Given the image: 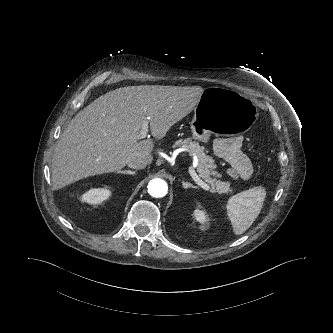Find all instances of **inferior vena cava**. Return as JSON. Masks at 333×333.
<instances>
[{"instance_id": "obj_1", "label": "inferior vena cava", "mask_w": 333, "mask_h": 333, "mask_svg": "<svg viewBox=\"0 0 333 333\" xmlns=\"http://www.w3.org/2000/svg\"><path fill=\"white\" fill-rule=\"evenodd\" d=\"M128 167L132 169H144L147 163L140 159H134L128 162Z\"/></svg>"}]
</instances>
